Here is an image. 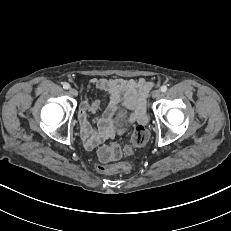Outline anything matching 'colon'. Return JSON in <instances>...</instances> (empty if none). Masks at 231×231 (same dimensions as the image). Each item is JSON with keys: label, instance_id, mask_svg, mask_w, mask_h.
I'll return each mask as SVG.
<instances>
[{"label": "colon", "instance_id": "obj_1", "mask_svg": "<svg viewBox=\"0 0 231 231\" xmlns=\"http://www.w3.org/2000/svg\"><path fill=\"white\" fill-rule=\"evenodd\" d=\"M149 139V132L143 125H138L133 130L130 144L123 150L118 144L110 143L103 145L98 149L100 163L97 164L98 171L104 174L129 173L131 165L129 163L110 164V162L119 159L123 151L130 153L134 148L144 146Z\"/></svg>", "mask_w": 231, "mask_h": 231}]
</instances>
